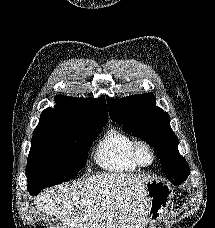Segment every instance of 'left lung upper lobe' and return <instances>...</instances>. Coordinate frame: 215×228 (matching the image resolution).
<instances>
[{
    "instance_id": "1",
    "label": "left lung upper lobe",
    "mask_w": 215,
    "mask_h": 228,
    "mask_svg": "<svg viewBox=\"0 0 215 228\" xmlns=\"http://www.w3.org/2000/svg\"><path fill=\"white\" fill-rule=\"evenodd\" d=\"M111 119L123 124L126 133L137 136L154 147L166 177L173 182L185 181L189 166L178 152V138L169 125V115L155 106L152 94L122 99L107 97Z\"/></svg>"
}]
</instances>
